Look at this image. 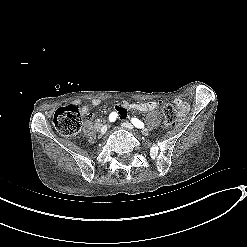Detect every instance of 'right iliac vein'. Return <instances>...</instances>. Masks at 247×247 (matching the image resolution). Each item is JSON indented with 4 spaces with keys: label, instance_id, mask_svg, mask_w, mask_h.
Here are the masks:
<instances>
[{
    "label": "right iliac vein",
    "instance_id": "1",
    "mask_svg": "<svg viewBox=\"0 0 247 247\" xmlns=\"http://www.w3.org/2000/svg\"><path fill=\"white\" fill-rule=\"evenodd\" d=\"M107 126L106 125H104V126H102V128H101V130H100V133L103 135V134H105L106 133V131H107Z\"/></svg>",
    "mask_w": 247,
    "mask_h": 247
}]
</instances>
